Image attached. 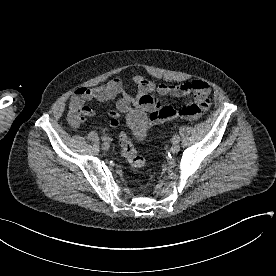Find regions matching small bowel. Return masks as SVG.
I'll return each instance as SVG.
<instances>
[{
  "label": "small bowel",
  "mask_w": 276,
  "mask_h": 276,
  "mask_svg": "<svg viewBox=\"0 0 276 276\" xmlns=\"http://www.w3.org/2000/svg\"><path fill=\"white\" fill-rule=\"evenodd\" d=\"M132 81L137 87L135 95L127 91L126 84L120 78H113L95 87L77 89L69 102L71 125L76 127L83 123L86 117H93L96 114L95 109L88 105L90 101L107 102L117 96L120 97L116 102L115 109L108 112L109 125L113 128L119 126L120 118L124 114L145 113L148 116V123L152 125L177 117L195 119L201 116L210 105L211 88L207 82L202 80H191L177 85L161 83L156 86L143 76L136 75ZM153 92H157L161 96L175 98L193 94L194 101L180 108H174L162 105L153 96ZM150 116L153 123L149 120Z\"/></svg>",
  "instance_id": "c3829d8e"
}]
</instances>
